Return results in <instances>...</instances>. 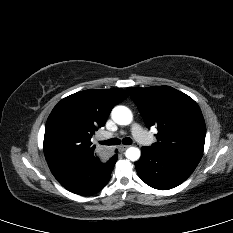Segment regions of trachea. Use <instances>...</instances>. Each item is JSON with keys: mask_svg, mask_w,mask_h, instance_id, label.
<instances>
[{"mask_svg": "<svg viewBox=\"0 0 233 233\" xmlns=\"http://www.w3.org/2000/svg\"><path fill=\"white\" fill-rule=\"evenodd\" d=\"M100 144L102 145H118L121 143V140L118 138H113V139H109V140H105V141H99ZM122 143L125 145H131L132 144V140L131 138H124L122 140Z\"/></svg>", "mask_w": 233, "mask_h": 233, "instance_id": "obj_1", "label": "trachea"}]
</instances>
